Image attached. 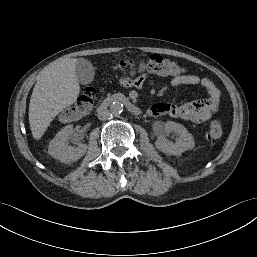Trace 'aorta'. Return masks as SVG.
<instances>
[{
    "instance_id": "obj_1",
    "label": "aorta",
    "mask_w": 257,
    "mask_h": 257,
    "mask_svg": "<svg viewBox=\"0 0 257 257\" xmlns=\"http://www.w3.org/2000/svg\"><path fill=\"white\" fill-rule=\"evenodd\" d=\"M110 110L112 114L118 115L123 111V104L121 102L115 101L111 104Z\"/></svg>"
}]
</instances>
